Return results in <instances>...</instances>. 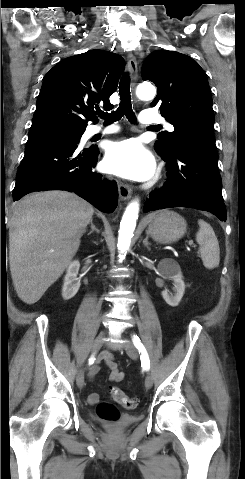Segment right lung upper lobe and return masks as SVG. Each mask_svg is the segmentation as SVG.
<instances>
[{"label":"right lung upper lobe","instance_id":"right-lung-upper-lobe-1","mask_svg":"<svg viewBox=\"0 0 245 479\" xmlns=\"http://www.w3.org/2000/svg\"><path fill=\"white\" fill-rule=\"evenodd\" d=\"M124 59L115 53L90 50L68 57L44 77L31 130L52 127L84 129L94 119L99 103L112 108L109 97L124 70Z\"/></svg>","mask_w":245,"mask_h":479}]
</instances>
